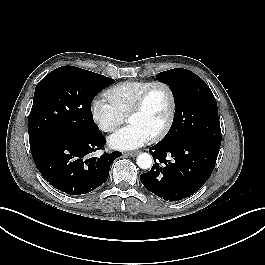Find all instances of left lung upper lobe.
I'll list each match as a JSON object with an SVG mask.
<instances>
[{"instance_id":"5c2ea615","label":"left lung upper lobe","mask_w":265,"mask_h":265,"mask_svg":"<svg viewBox=\"0 0 265 265\" xmlns=\"http://www.w3.org/2000/svg\"><path fill=\"white\" fill-rule=\"evenodd\" d=\"M156 78L170 87L176 106L172 126L160 142L200 137L221 144L217 102L208 85L182 68L158 73Z\"/></svg>"}]
</instances>
